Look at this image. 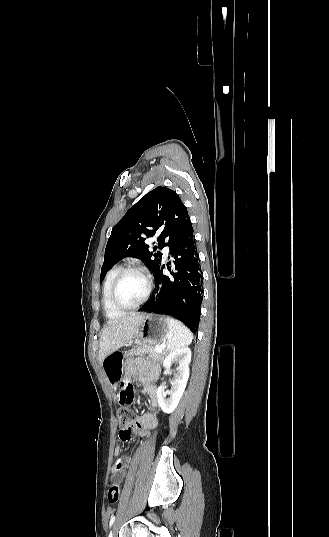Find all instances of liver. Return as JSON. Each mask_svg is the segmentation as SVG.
Returning a JSON list of instances; mask_svg holds the SVG:
<instances>
[{"label": "liver", "instance_id": "1", "mask_svg": "<svg viewBox=\"0 0 329 537\" xmlns=\"http://www.w3.org/2000/svg\"><path fill=\"white\" fill-rule=\"evenodd\" d=\"M142 319L143 315L134 313L128 317L107 322L100 335V349L98 355L100 364H102L106 356L118 350L134 337Z\"/></svg>", "mask_w": 329, "mask_h": 537}]
</instances>
